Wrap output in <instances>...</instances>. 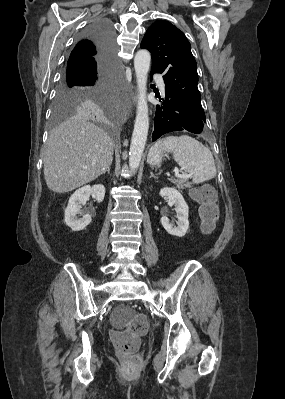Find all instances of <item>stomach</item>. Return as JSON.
Here are the masks:
<instances>
[{"mask_svg":"<svg viewBox=\"0 0 285 399\" xmlns=\"http://www.w3.org/2000/svg\"><path fill=\"white\" fill-rule=\"evenodd\" d=\"M164 151L165 150L161 147L152 148L148 154L147 162L151 166H159L162 162Z\"/></svg>","mask_w":285,"mask_h":399,"instance_id":"0dacf381","label":"stomach"}]
</instances>
